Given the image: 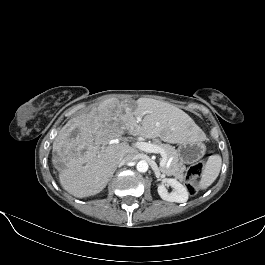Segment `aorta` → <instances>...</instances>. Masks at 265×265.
Segmentation results:
<instances>
[{
	"label": "aorta",
	"mask_w": 265,
	"mask_h": 265,
	"mask_svg": "<svg viewBox=\"0 0 265 265\" xmlns=\"http://www.w3.org/2000/svg\"><path fill=\"white\" fill-rule=\"evenodd\" d=\"M148 167V163L145 160H140L136 164V169L141 173L147 172Z\"/></svg>",
	"instance_id": "762f6f07"
}]
</instances>
